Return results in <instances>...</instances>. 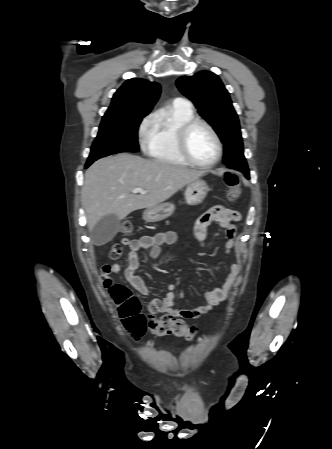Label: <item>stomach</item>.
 Listing matches in <instances>:
<instances>
[{"instance_id":"stomach-1","label":"stomach","mask_w":332,"mask_h":449,"mask_svg":"<svg viewBox=\"0 0 332 449\" xmlns=\"http://www.w3.org/2000/svg\"><path fill=\"white\" fill-rule=\"evenodd\" d=\"M209 187L204 180L197 179L189 183L184 192L185 201L190 206H196L203 202ZM175 211V205L171 202L158 204L149 207L143 212V219L146 222H158L171 216Z\"/></svg>"}]
</instances>
